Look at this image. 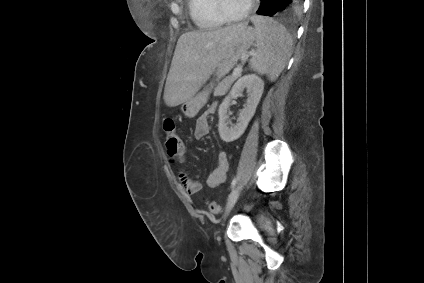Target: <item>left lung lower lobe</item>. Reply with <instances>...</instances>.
I'll return each instance as SVG.
<instances>
[{
    "label": "left lung lower lobe",
    "mask_w": 424,
    "mask_h": 283,
    "mask_svg": "<svg viewBox=\"0 0 424 283\" xmlns=\"http://www.w3.org/2000/svg\"><path fill=\"white\" fill-rule=\"evenodd\" d=\"M257 14L264 16L292 15L301 10L304 0H260Z\"/></svg>",
    "instance_id": "obj_1"
}]
</instances>
